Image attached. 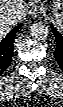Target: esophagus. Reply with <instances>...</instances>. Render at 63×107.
I'll use <instances>...</instances> for the list:
<instances>
[{"mask_svg":"<svg viewBox=\"0 0 63 107\" xmlns=\"http://www.w3.org/2000/svg\"><path fill=\"white\" fill-rule=\"evenodd\" d=\"M41 13L42 8L37 5H34L29 12L32 18H37Z\"/></svg>","mask_w":63,"mask_h":107,"instance_id":"obj_1","label":"esophagus"}]
</instances>
